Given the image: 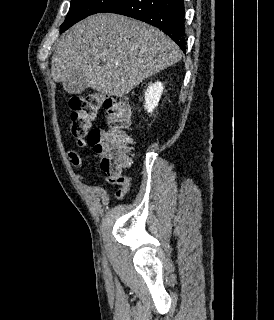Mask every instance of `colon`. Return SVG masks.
Wrapping results in <instances>:
<instances>
[{
    "label": "colon",
    "instance_id": "5ec220e1",
    "mask_svg": "<svg viewBox=\"0 0 274 320\" xmlns=\"http://www.w3.org/2000/svg\"><path fill=\"white\" fill-rule=\"evenodd\" d=\"M70 110V134H84L91 138L94 149L103 152L100 167L121 185L116 196H125L129 190V181L120 175V171L130 162L132 139L128 134L131 112L126 99L122 96L105 99L100 92L68 99ZM99 109H104L105 120L109 129L92 127V120L97 119Z\"/></svg>",
    "mask_w": 274,
    "mask_h": 320
}]
</instances>
